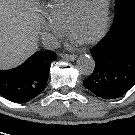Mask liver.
Instances as JSON below:
<instances>
[{"label": "liver", "instance_id": "1", "mask_svg": "<svg viewBox=\"0 0 135 135\" xmlns=\"http://www.w3.org/2000/svg\"><path fill=\"white\" fill-rule=\"evenodd\" d=\"M38 12L36 0H0V69L21 64L37 49Z\"/></svg>", "mask_w": 135, "mask_h": 135}]
</instances>
